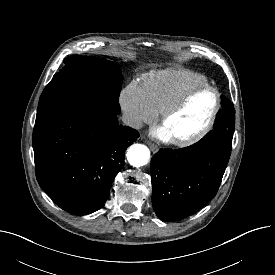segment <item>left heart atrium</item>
<instances>
[{"mask_svg":"<svg viewBox=\"0 0 275 275\" xmlns=\"http://www.w3.org/2000/svg\"><path fill=\"white\" fill-rule=\"evenodd\" d=\"M154 135L162 140H170L169 134L166 132V130L163 127L158 128L155 130Z\"/></svg>","mask_w":275,"mask_h":275,"instance_id":"39dd6f15","label":"left heart atrium"}]
</instances>
